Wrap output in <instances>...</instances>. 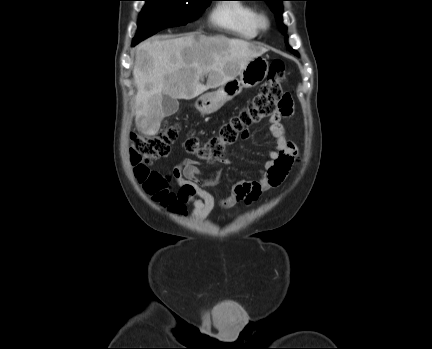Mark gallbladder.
<instances>
[{
	"label": "gallbladder",
	"mask_w": 432,
	"mask_h": 349,
	"mask_svg": "<svg viewBox=\"0 0 432 349\" xmlns=\"http://www.w3.org/2000/svg\"><path fill=\"white\" fill-rule=\"evenodd\" d=\"M162 109L165 117L175 114L179 109V102L168 95H163Z\"/></svg>",
	"instance_id": "bac80fb5"
}]
</instances>
